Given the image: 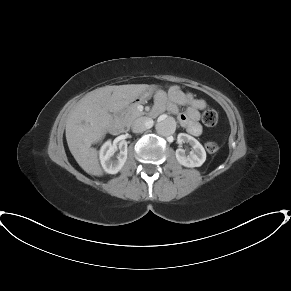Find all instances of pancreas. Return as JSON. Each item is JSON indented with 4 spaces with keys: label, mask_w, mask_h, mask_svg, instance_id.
Masks as SVG:
<instances>
[{
    "label": "pancreas",
    "mask_w": 291,
    "mask_h": 291,
    "mask_svg": "<svg viewBox=\"0 0 291 291\" xmlns=\"http://www.w3.org/2000/svg\"><path fill=\"white\" fill-rule=\"evenodd\" d=\"M138 105V103H133L122 110L121 117L124 122L131 124L136 118L145 114V112L138 109Z\"/></svg>",
    "instance_id": "obj_1"
}]
</instances>
